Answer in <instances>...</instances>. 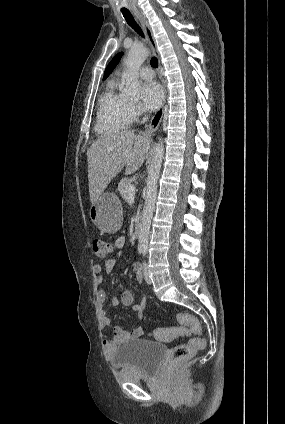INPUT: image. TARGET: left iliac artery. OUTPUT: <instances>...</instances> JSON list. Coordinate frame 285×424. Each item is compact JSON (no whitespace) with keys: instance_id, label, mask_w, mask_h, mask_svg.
<instances>
[{"instance_id":"obj_1","label":"left iliac artery","mask_w":285,"mask_h":424,"mask_svg":"<svg viewBox=\"0 0 285 424\" xmlns=\"http://www.w3.org/2000/svg\"><path fill=\"white\" fill-rule=\"evenodd\" d=\"M145 254H146V249L143 250V255L145 256ZM140 273H141V270H140Z\"/></svg>"}]
</instances>
